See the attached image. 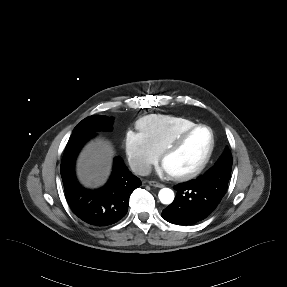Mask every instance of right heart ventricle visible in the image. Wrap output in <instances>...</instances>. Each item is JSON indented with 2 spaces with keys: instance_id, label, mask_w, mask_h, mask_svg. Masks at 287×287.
Masks as SVG:
<instances>
[{
  "instance_id": "1",
  "label": "right heart ventricle",
  "mask_w": 287,
  "mask_h": 287,
  "mask_svg": "<svg viewBox=\"0 0 287 287\" xmlns=\"http://www.w3.org/2000/svg\"><path fill=\"white\" fill-rule=\"evenodd\" d=\"M195 124L193 120L184 116L150 114L141 118L137 126L155 149L162 152L179 133Z\"/></svg>"
}]
</instances>
